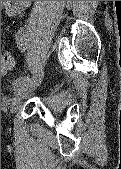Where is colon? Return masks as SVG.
<instances>
[{
  "instance_id": "5ec220e1",
  "label": "colon",
  "mask_w": 121,
  "mask_h": 169,
  "mask_svg": "<svg viewBox=\"0 0 121 169\" xmlns=\"http://www.w3.org/2000/svg\"><path fill=\"white\" fill-rule=\"evenodd\" d=\"M14 67V57L11 52L5 51L1 55V73L12 69Z\"/></svg>"
}]
</instances>
